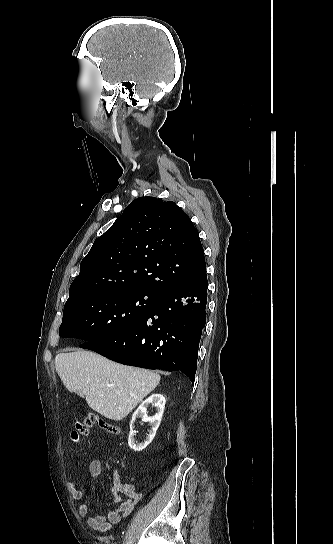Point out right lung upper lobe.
<instances>
[{"mask_svg":"<svg viewBox=\"0 0 333 544\" xmlns=\"http://www.w3.org/2000/svg\"><path fill=\"white\" fill-rule=\"evenodd\" d=\"M205 273L203 247L188 215L174 202L141 197L95 240L66 303L108 291L159 296Z\"/></svg>","mask_w":333,"mask_h":544,"instance_id":"1","label":"right lung upper lobe"}]
</instances>
